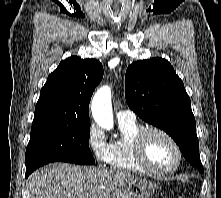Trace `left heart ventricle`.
<instances>
[{
    "mask_svg": "<svg viewBox=\"0 0 221 198\" xmlns=\"http://www.w3.org/2000/svg\"><path fill=\"white\" fill-rule=\"evenodd\" d=\"M146 157L151 165L160 169L171 168L177 160L176 151L168 139L158 133L146 139Z\"/></svg>",
    "mask_w": 221,
    "mask_h": 198,
    "instance_id": "1",
    "label": "left heart ventricle"
}]
</instances>
